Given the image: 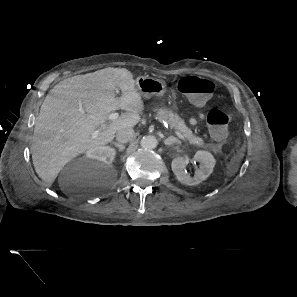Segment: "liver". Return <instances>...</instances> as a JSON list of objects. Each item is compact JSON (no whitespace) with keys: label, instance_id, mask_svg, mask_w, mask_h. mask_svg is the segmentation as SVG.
<instances>
[{"label":"liver","instance_id":"obj_1","mask_svg":"<svg viewBox=\"0 0 297 297\" xmlns=\"http://www.w3.org/2000/svg\"><path fill=\"white\" fill-rule=\"evenodd\" d=\"M116 87L121 90L119 98ZM118 109L126 112L108 122ZM143 110L133 75L125 68L109 67L62 80L45 97L35 123L31 153L37 175L50 186L72 159L108 144L119 130L133 128Z\"/></svg>","mask_w":297,"mask_h":297}]
</instances>
